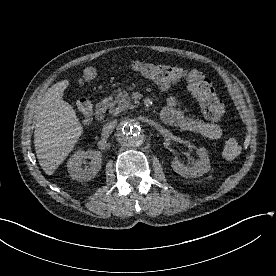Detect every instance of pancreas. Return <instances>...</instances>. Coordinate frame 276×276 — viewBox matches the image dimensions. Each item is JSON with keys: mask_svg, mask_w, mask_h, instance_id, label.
Instances as JSON below:
<instances>
[{"mask_svg": "<svg viewBox=\"0 0 276 276\" xmlns=\"http://www.w3.org/2000/svg\"><path fill=\"white\" fill-rule=\"evenodd\" d=\"M108 100H110L109 112L113 115L121 113L131 105L129 94L125 91H119L114 100H112V97H109Z\"/></svg>", "mask_w": 276, "mask_h": 276, "instance_id": "pancreas-1", "label": "pancreas"}]
</instances>
